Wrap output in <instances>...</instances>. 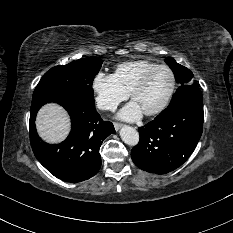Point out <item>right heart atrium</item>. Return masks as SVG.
Segmentation results:
<instances>
[{
	"instance_id": "right-heart-atrium-1",
	"label": "right heart atrium",
	"mask_w": 233,
	"mask_h": 233,
	"mask_svg": "<svg viewBox=\"0 0 233 233\" xmlns=\"http://www.w3.org/2000/svg\"><path fill=\"white\" fill-rule=\"evenodd\" d=\"M91 88L97 107L103 111H114L129 97V94L122 89L112 74L102 71L94 75Z\"/></svg>"
}]
</instances>
